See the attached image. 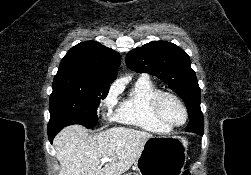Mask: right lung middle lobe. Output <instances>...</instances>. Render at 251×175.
Returning <instances> with one entry per match:
<instances>
[{
  "label": "right lung middle lobe",
  "mask_w": 251,
  "mask_h": 175,
  "mask_svg": "<svg viewBox=\"0 0 251 175\" xmlns=\"http://www.w3.org/2000/svg\"><path fill=\"white\" fill-rule=\"evenodd\" d=\"M50 96L49 128L60 130L68 125L80 124L93 128L98 122L97 107L109 87L89 86L54 80Z\"/></svg>",
  "instance_id": "obj_1"
}]
</instances>
